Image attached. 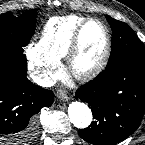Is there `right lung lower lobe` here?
Returning <instances> with one entry per match:
<instances>
[{
    "instance_id": "right-lung-lower-lobe-1",
    "label": "right lung lower lobe",
    "mask_w": 145,
    "mask_h": 145,
    "mask_svg": "<svg viewBox=\"0 0 145 145\" xmlns=\"http://www.w3.org/2000/svg\"><path fill=\"white\" fill-rule=\"evenodd\" d=\"M26 73L23 48L0 47V145L31 144L37 113L54 101L53 92L34 85Z\"/></svg>"
}]
</instances>
